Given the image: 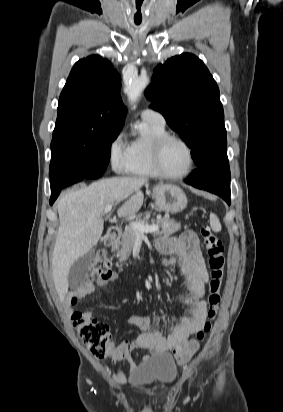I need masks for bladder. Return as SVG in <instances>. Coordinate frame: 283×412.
I'll use <instances>...</instances> for the list:
<instances>
[{"instance_id":"31cf9c89","label":"bladder","mask_w":283,"mask_h":412,"mask_svg":"<svg viewBox=\"0 0 283 412\" xmlns=\"http://www.w3.org/2000/svg\"><path fill=\"white\" fill-rule=\"evenodd\" d=\"M177 375L174 360L164 357L150 363L142 371L131 375V382L137 386L166 385L173 382Z\"/></svg>"}]
</instances>
